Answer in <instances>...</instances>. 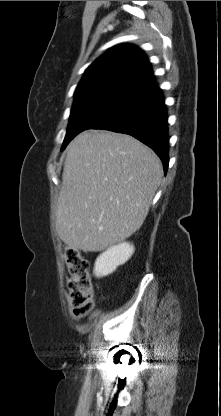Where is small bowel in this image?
I'll use <instances>...</instances> for the list:
<instances>
[{"mask_svg": "<svg viewBox=\"0 0 221 416\" xmlns=\"http://www.w3.org/2000/svg\"><path fill=\"white\" fill-rule=\"evenodd\" d=\"M66 301H67L68 307L70 309L71 304H70V300H69V297L68 296H66Z\"/></svg>", "mask_w": 221, "mask_h": 416, "instance_id": "1", "label": "small bowel"}]
</instances>
